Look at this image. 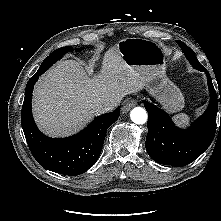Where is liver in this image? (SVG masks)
I'll list each match as a JSON object with an SVG mask.
<instances>
[{
  "label": "liver",
  "mask_w": 221,
  "mask_h": 221,
  "mask_svg": "<svg viewBox=\"0 0 221 221\" xmlns=\"http://www.w3.org/2000/svg\"><path fill=\"white\" fill-rule=\"evenodd\" d=\"M102 69L90 78L83 66L65 60L43 75L33 93V115L38 127L50 136L72 135L103 110V99L122 98L144 88L138 72L123 60L118 47L103 56Z\"/></svg>",
  "instance_id": "liver-1"
}]
</instances>
